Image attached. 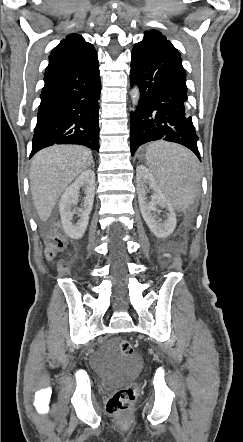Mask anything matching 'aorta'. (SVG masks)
Masks as SVG:
<instances>
[{
	"instance_id": "1",
	"label": "aorta",
	"mask_w": 243,
	"mask_h": 442,
	"mask_svg": "<svg viewBox=\"0 0 243 442\" xmlns=\"http://www.w3.org/2000/svg\"><path fill=\"white\" fill-rule=\"evenodd\" d=\"M133 109H136L140 99V90L138 85H134L130 92Z\"/></svg>"
}]
</instances>
